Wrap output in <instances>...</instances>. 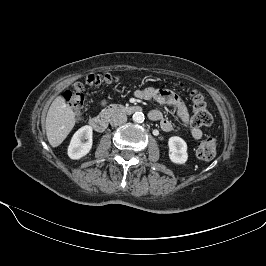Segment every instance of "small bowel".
<instances>
[{
	"instance_id": "1",
	"label": "small bowel",
	"mask_w": 266,
	"mask_h": 266,
	"mask_svg": "<svg viewBox=\"0 0 266 266\" xmlns=\"http://www.w3.org/2000/svg\"><path fill=\"white\" fill-rule=\"evenodd\" d=\"M134 96L139 99L153 100L160 104H165L173 107L178 120L186 127L190 126V133L193 139L199 140L203 136L202 130L197 126H191L190 115L184 102L174 92L167 89H160L155 87H146L134 91ZM150 117L153 120L160 121L161 128L169 132L173 129V124L170 120L164 117L159 110L150 112Z\"/></svg>"
}]
</instances>
